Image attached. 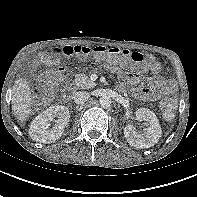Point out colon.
<instances>
[{"label": "colon", "instance_id": "1", "mask_svg": "<svg viewBox=\"0 0 197 197\" xmlns=\"http://www.w3.org/2000/svg\"><path fill=\"white\" fill-rule=\"evenodd\" d=\"M64 57H88L92 56L98 60H109L111 62L125 61L132 62L139 68H146L153 64V57L137 51H129L120 48H106L104 46L87 47V46H63L50 48L42 54L40 61L46 65H53L58 58ZM65 77L63 69L58 68L46 71L42 74L40 83L35 87L34 93L37 97H44L50 93L52 88L59 84ZM163 117L167 121H171L176 112V101L174 98H167L163 104Z\"/></svg>", "mask_w": 197, "mask_h": 197}]
</instances>
